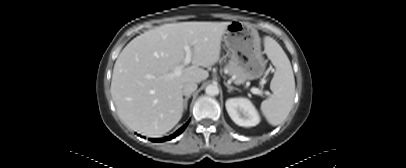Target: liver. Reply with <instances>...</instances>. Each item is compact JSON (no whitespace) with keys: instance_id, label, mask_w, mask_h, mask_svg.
<instances>
[{"instance_id":"liver-1","label":"liver","mask_w":406,"mask_h":168,"mask_svg":"<svg viewBox=\"0 0 406 168\" xmlns=\"http://www.w3.org/2000/svg\"><path fill=\"white\" fill-rule=\"evenodd\" d=\"M229 23L164 24L130 41L114 64L110 88L120 120L149 137L169 132L182 118L183 85L208 78V71L200 66L209 67L219 60ZM185 45L191 48L192 65L170 78L183 64Z\"/></svg>"}]
</instances>
